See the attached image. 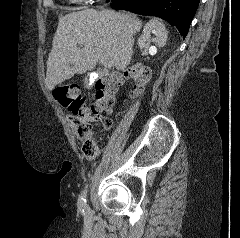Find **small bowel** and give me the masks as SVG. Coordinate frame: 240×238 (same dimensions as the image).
<instances>
[{"mask_svg":"<svg viewBox=\"0 0 240 238\" xmlns=\"http://www.w3.org/2000/svg\"><path fill=\"white\" fill-rule=\"evenodd\" d=\"M112 109H109L108 111L111 112ZM98 117H99L98 115L89 114L86 117H84V121L85 122H93V121H96L98 119Z\"/></svg>","mask_w":240,"mask_h":238,"instance_id":"1","label":"small bowel"}]
</instances>
